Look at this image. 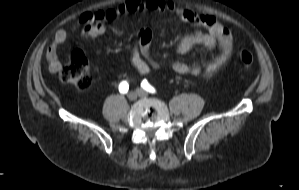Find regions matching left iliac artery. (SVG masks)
Returning a JSON list of instances; mask_svg holds the SVG:
<instances>
[{"label":"left iliac artery","instance_id":"obj_1","mask_svg":"<svg viewBox=\"0 0 299 190\" xmlns=\"http://www.w3.org/2000/svg\"><path fill=\"white\" fill-rule=\"evenodd\" d=\"M141 86L143 87V89H145L147 92L150 93H155V89L148 83V81L146 79H144L141 82Z\"/></svg>","mask_w":299,"mask_h":190}]
</instances>
